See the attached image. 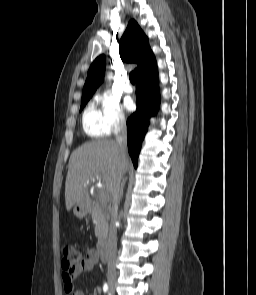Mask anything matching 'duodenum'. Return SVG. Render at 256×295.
Here are the masks:
<instances>
[{"label": "duodenum", "instance_id": "obj_1", "mask_svg": "<svg viewBox=\"0 0 256 295\" xmlns=\"http://www.w3.org/2000/svg\"><path fill=\"white\" fill-rule=\"evenodd\" d=\"M84 205H86V204H84ZM97 252H98V257L102 262L108 261L109 251H108V248L105 244H103V243L99 244Z\"/></svg>", "mask_w": 256, "mask_h": 295}]
</instances>
